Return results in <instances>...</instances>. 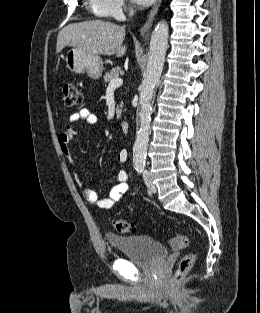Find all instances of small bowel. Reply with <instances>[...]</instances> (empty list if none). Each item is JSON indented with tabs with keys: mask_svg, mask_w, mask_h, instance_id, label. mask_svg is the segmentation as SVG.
<instances>
[{
	"mask_svg": "<svg viewBox=\"0 0 260 313\" xmlns=\"http://www.w3.org/2000/svg\"><path fill=\"white\" fill-rule=\"evenodd\" d=\"M70 125L58 135V144L61 152L68 159L70 163H73V157L69 149V143L75 134V128L73 124L84 122L87 125H96L98 122L97 116L89 109H81L80 111L73 113L69 117ZM128 158V152L126 149H120L116 154V160L119 163H125ZM74 177L77 185L81 190V194L84 200L99 209H110L114 207L120 199L129 191L128 174L126 171L121 170L116 175V185L111 190L107 198H99L96 191L88 187L78 172H74Z\"/></svg>",
	"mask_w": 260,
	"mask_h": 313,
	"instance_id": "obj_1",
	"label": "small bowel"
}]
</instances>
